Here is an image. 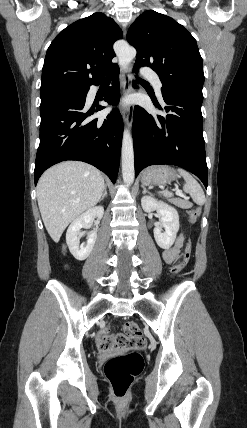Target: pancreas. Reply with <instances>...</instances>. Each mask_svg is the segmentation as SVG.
<instances>
[{"mask_svg":"<svg viewBox=\"0 0 247 428\" xmlns=\"http://www.w3.org/2000/svg\"><path fill=\"white\" fill-rule=\"evenodd\" d=\"M169 201L171 203H173L174 205L182 208V209H188V208H191V206H192V204L189 201L182 200V199H179V198L169 199Z\"/></svg>","mask_w":247,"mask_h":428,"instance_id":"pancreas-1","label":"pancreas"}]
</instances>
